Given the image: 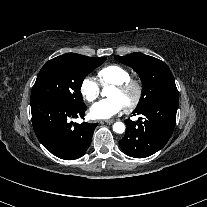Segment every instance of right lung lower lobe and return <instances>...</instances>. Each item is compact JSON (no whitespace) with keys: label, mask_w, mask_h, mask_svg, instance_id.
Listing matches in <instances>:
<instances>
[{"label":"right lung lower lobe","mask_w":207,"mask_h":207,"mask_svg":"<svg viewBox=\"0 0 207 207\" xmlns=\"http://www.w3.org/2000/svg\"><path fill=\"white\" fill-rule=\"evenodd\" d=\"M32 124L39 141L55 156L72 160L84 155L97 124L74 123L85 115V104L72 106L55 98L31 100Z\"/></svg>","instance_id":"1"}]
</instances>
